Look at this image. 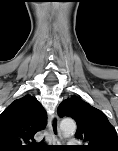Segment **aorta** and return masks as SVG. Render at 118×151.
Listing matches in <instances>:
<instances>
[{"label":"aorta","instance_id":"aorta-1","mask_svg":"<svg viewBox=\"0 0 118 151\" xmlns=\"http://www.w3.org/2000/svg\"><path fill=\"white\" fill-rule=\"evenodd\" d=\"M76 123L70 118L63 119L60 123V132L64 138L70 137L76 131Z\"/></svg>","mask_w":118,"mask_h":151}]
</instances>
